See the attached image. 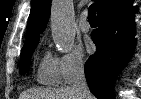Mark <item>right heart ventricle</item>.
Wrapping results in <instances>:
<instances>
[{
	"label": "right heart ventricle",
	"instance_id": "right-heart-ventricle-1",
	"mask_svg": "<svg viewBox=\"0 0 141 99\" xmlns=\"http://www.w3.org/2000/svg\"><path fill=\"white\" fill-rule=\"evenodd\" d=\"M40 84L54 86L60 82L57 61L49 53H45L39 62L36 74Z\"/></svg>",
	"mask_w": 141,
	"mask_h": 99
}]
</instances>
